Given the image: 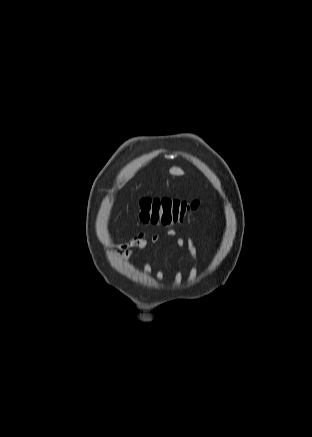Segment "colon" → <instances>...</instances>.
Here are the masks:
<instances>
[{
  "label": "colon",
  "mask_w": 312,
  "mask_h": 437,
  "mask_svg": "<svg viewBox=\"0 0 312 437\" xmlns=\"http://www.w3.org/2000/svg\"><path fill=\"white\" fill-rule=\"evenodd\" d=\"M200 207L199 201L172 198H143L139 202V219L145 224L170 225L187 221Z\"/></svg>",
  "instance_id": "5ec220e1"
}]
</instances>
